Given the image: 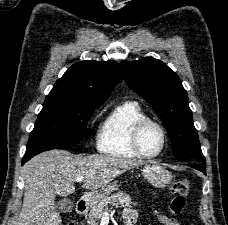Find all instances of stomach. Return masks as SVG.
<instances>
[{"label": "stomach", "mask_w": 228, "mask_h": 225, "mask_svg": "<svg viewBox=\"0 0 228 225\" xmlns=\"http://www.w3.org/2000/svg\"><path fill=\"white\" fill-rule=\"evenodd\" d=\"M142 175L144 179H147L153 187H157V189H164L167 185H170L172 181V175L169 171H166L164 167L158 165V163H150V165H145L142 169ZM118 181H114L111 185H107V187H103V189H99V191H94V193H89L87 197V203L90 205H96L98 201L101 199H105V197H109L111 193L114 191H118Z\"/></svg>", "instance_id": "1"}]
</instances>
